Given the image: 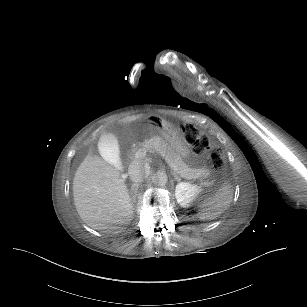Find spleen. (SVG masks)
Returning a JSON list of instances; mask_svg holds the SVG:
<instances>
[{"mask_svg":"<svg viewBox=\"0 0 307 307\" xmlns=\"http://www.w3.org/2000/svg\"><path fill=\"white\" fill-rule=\"evenodd\" d=\"M232 197V187L229 184H222L219 187L217 198L202 205V212L199 214L201 220H213L218 214L225 212L229 208V202Z\"/></svg>","mask_w":307,"mask_h":307,"instance_id":"1","label":"spleen"}]
</instances>
